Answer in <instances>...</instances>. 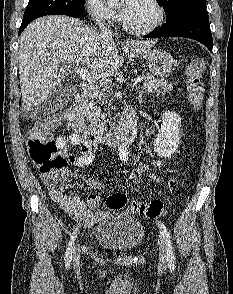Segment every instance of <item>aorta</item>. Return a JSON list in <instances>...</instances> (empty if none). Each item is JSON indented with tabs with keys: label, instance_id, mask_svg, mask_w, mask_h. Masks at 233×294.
<instances>
[{
	"label": "aorta",
	"instance_id": "1",
	"mask_svg": "<svg viewBox=\"0 0 233 294\" xmlns=\"http://www.w3.org/2000/svg\"><path fill=\"white\" fill-rule=\"evenodd\" d=\"M117 0H108V3L112 4L114 2H116Z\"/></svg>",
	"mask_w": 233,
	"mask_h": 294
}]
</instances>
